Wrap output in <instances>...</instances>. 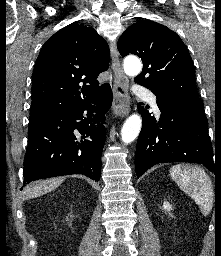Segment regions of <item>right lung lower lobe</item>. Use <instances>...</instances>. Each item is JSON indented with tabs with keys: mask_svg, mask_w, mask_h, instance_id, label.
Wrapping results in <instances>:
<instances>
[{
	"mask_svg": "<svg viewBox=\"0 0 221 256\" xmlns=\"http://www.w3.org/2000/svg\"><path fill=\"white\" fill-rule=\"evenodd\" d=\"M111 104L112 91L108 87L91 100L31 122L24 185L71 174H83L98 181L106 138L105 114Z\"/></svg>",
	"mask_w": 221,
	"mask_h": 256,
	"instance_id": "right-lung-lower-lobe-1",
	"label": "right lung lower lobe"
}]
</instances>
